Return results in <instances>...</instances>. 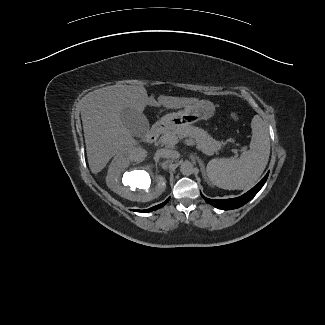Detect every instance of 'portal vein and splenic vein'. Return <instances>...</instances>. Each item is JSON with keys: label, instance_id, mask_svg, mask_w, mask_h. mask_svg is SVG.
Listing matches in <instances>:
<instances>
[{"label": "portal vein and splenic vein", "instance_id": "1", "mask_svg": "<svg viewBox=\"0 0 325 325\" xmlns=\"http://www.w3.org/2000/svg\"><path fill=\"white\" fill-rule=\"evenodd\" d=\"M167 142H168L169 144H171V145H175V144L178 142V140H177L176 137H170V138L167 139ZM186 144H188V145H195V143H194L193 140H187V141H186ZM201 151H202L203 153L207 154V155H212V153H210V152H209L208 150H206V149H201ZM232 151L236 153V156H235V157H237V156H238V154H237L238 150H237V149H232Z\"/></svg>", "mask_w": 325, "mask_h": 325}]
</instances>
